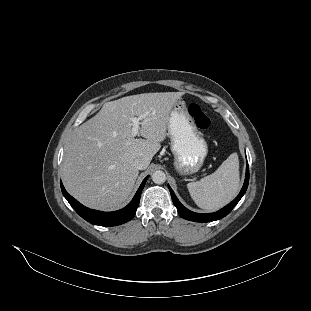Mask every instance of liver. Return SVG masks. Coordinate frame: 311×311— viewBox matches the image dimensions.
Here are the masks:
<instances>
[{
	"label": "liver",
	"instance_id": "1",
	"mask_svg": "<svg viewBox=\"0 0 311 311\" xmlns=\"http://www.w3.org/2000/svg\"><path fill=\"white\" fill-rule=\"evenodd\" d=\"M184 94L143 93L104 104L76 129L64 151L62 178L68 192L90 208L123 207L139 175L132 162L141 158L143 170L148 168L167 139L170 114ZM134 116H143L142 138L132 132Z\"/></svg>",
	"mask_w": 311,
	"mask_h": 311
}]
</instances>
